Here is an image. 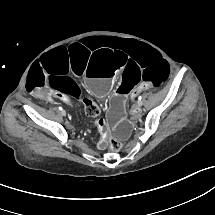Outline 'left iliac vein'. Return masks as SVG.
<instances>
[{
	"instance_id": "obj_1",
	"label": "left iliac vein",
	"mask_w": 215,
	"mask_h": 215,
	"mask_svg": "<svg viewBox=\"0 0 215 215\" xmlns=\"http://www.w3.org/2000/svg\"><path fill=\"white\" fill-rule=\"evenodd\" d=\"M135 107H136V108H139V107H141V104H140V103H137V104H135Z\"/></svg>"
}]
</instances>
